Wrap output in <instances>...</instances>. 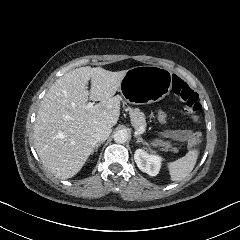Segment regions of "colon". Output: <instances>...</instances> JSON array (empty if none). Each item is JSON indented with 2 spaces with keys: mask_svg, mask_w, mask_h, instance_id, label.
I'll return each mask as SVG.
<instances>
[{
  "mask_svg": "<svg viewBox=\"0 0 240 240\" xmlns=\"http://www.w3.org/2000/svg\"><path fill=\"white\" fill-rule=\"evenodd\" d=\"M177 93L181 101L185 104H188V114H194L201 109V103L199 100V95L195 92L188 84H183L178 88ZM158 121L166 123L167 122V113H163V110H158ZM195 142L198 145L202 144V134L198 133L193 135L192 138L186 139V146H195Z\"/></svg>",
  "mask_w": 240,
  "mask_h": 240,
  "instance_id": "obj_1",
  "label": "colon"
}]
</instances>
